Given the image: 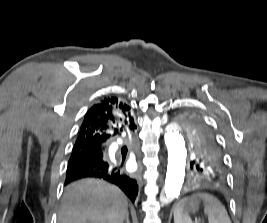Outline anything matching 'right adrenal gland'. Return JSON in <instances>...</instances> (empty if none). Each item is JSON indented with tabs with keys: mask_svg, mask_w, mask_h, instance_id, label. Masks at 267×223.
<instances>
[{
	"mask_svg": "<svg viewBox=\"0 0 267 223\" xmlns=\"http://www.w3.org/2000/svg\"><path fill=\"white\" fill-rule=\"evenodd\" d=\"M124 223H130V221H129V213H127Z\"/></svg>",
	"mask_w": 267,
	"mask_h": 223,
	"instance_id": "2a0ac1e0",
	"label": "right adrenal gland"
}]
</instances>
